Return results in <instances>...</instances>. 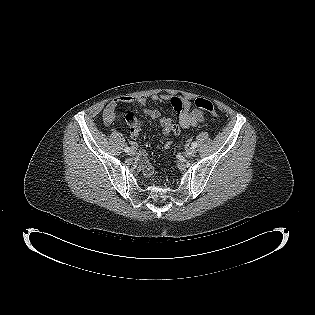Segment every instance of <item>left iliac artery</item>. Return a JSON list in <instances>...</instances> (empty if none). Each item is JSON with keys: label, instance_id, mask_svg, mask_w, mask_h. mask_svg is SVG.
Instances as JSON below:
<instances>
[{"label": "left iliac artery", "instance_id": "obj_1", "mask_svg": "<svg viewBox=\"0 0 315 315\" xmlns=\"http://www.w3.org/2000/svg\"><path fill=\"white\" fill-rule=\"evenodd\" d=\"M191 146H192L193 148H196V147H197V143H196V142H193V143L191 144Z\"/></svg>", "mask_w": 315, "mask_h": 315}]
</instances>
